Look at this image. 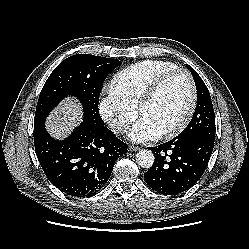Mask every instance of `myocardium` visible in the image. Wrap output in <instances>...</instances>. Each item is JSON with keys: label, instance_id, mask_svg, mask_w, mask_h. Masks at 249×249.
I'll return each instance as SVG.
<instances>
[{"label": "myocardium", "instance_id": "obj_1", "mask_svg": "<svg viewBox=\"0 0 249 249\" xmlns=\"http://www.w3.org/2000/svg\"><path fill=\"white\" fill-rule=\"evenodd\" d=\"M176 74H183L187 78L190 89L189 106L182 119L175 126L162 132V136L166 138L174 137L179 133H181L188 126L195 113L197 105V88L192 74L187 69L180 67H177L175 69L169 70L161 74L147 88V90L142 95L136 107L137 113L141 115L142 109L155 98V96L157 95L163 84L170 77Z\"/></svg>", "mask_w": 249, "mask_h": 249}]
</instances>
